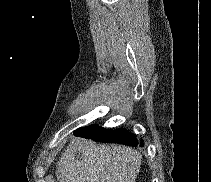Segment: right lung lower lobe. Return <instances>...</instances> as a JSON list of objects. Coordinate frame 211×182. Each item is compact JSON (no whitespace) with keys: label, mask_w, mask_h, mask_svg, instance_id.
<instances>
[{"label":"right lung lower lobe","mask_w":211,"mask_h":182,"mask_svg":"<svg viewBox=\"0 0 211 182\" xmlns=\"http://www.w3.org/2000/svg\"><path fill=\"white\" fill-rule=\"evenodd\" d=\"M75 136L92 139L96 142H104V143H119L125 144L129 146H137L138 141L131 132L119 128L117 130H110L100 127L97 124L78 128L74 132ZM144 144L141 142L140 146Z\"/></svg>","instance_id":"1"}]
</instances>
